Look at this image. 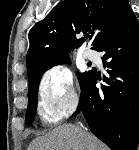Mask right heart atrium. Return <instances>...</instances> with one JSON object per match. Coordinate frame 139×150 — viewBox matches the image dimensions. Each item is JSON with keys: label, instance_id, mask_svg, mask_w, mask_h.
Masks as SVG:
<instances>
[{"label": "right heart atrium", "instance_id": "d8ad5b80", "mask_svg": "<svg viewBox=\"0 0 139 150\" xmlns=\"http://www.w3.org/2000/svg\"><path fill=\"white\" fill-rule=\"evenodd\" d=\"M78 102L73 76L67 68L53 66L44 72L39 83L38 107L45 122L61 121L76 109Z\"/></svg>", "mask_w": 139, "mask_h": 150}]
</instances>
